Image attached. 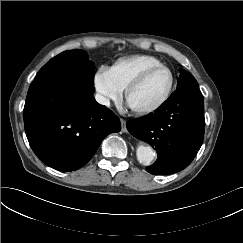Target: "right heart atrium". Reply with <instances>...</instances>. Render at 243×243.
Segmentation results:
<instances>
[{
  "label": "right heart atrium",
  "instance_id": "obj_1",
  "mask_svg": "<svg viewBox=\"0 0 243 243\" xmlns=\"http://www.w3.org/2000/svg\"><path fill=\"white\" fill-rule=\"evenodd\" d=\"M94 87L99 100L104 105L117 102L122 97V90L113 81L109 68L102 67L95 74Z\"/></svg>",
  "mask_w": 243,
  "mask_h": 243
}]
</instances>
